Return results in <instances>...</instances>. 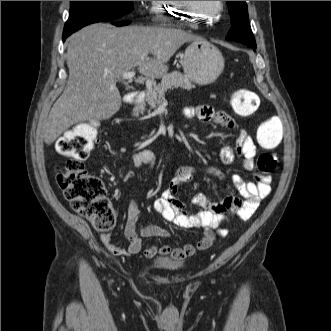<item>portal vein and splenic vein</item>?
Masks as SVG:
<instances>
[{
  "instance_id": "18ae733b",
  "label": "portal vein and splenic vein",
  "mask_w": 331,
  "mask_h": 331,
  "mask_svg": "<svg viewBox=\"0 0 331 331\" xmlns=\"http://www.w3.org/2000/svg\"><path fill=\"white\" fill-rule=\"evenodd\" d=\"M135 74H136L135 71L125 72L122 74V78L126 80H130L135 77Z\"/></svg>"
}]
</instances>
